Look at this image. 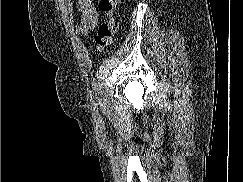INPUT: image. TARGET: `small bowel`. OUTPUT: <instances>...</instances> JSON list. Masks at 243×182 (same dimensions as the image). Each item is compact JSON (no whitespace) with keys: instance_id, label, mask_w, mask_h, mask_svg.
Returning <instances> with one entry per match:
<instances>
[{"instance_id":"c3829d8e","label":"small bowel","mask_w":243,"mask_h":182,"mask_svg":"<svg viewBox=\"0 0 243 182\" xmlns=\"http://www.w3.org/2000/svg\"><path fill=\"white\" fill-rule=\"evenodd\" d=\"M77 7L80 13V25L78 33L88 35L98 22V13L92 0H77Z\"/></svg>"}]
</instances>
